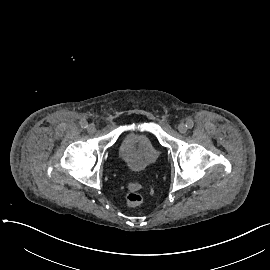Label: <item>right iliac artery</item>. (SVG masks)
<instances>
[{
  "instance_id": "1",
  "label": "right iliac artery",
  "mask_w": 270,
  "mask_h": 270,
  "mask_svg": "<svg viewBox=\"0 0 270 270\" xmlns=\"http://www.w3.org/2000/svg\"><path fill=\"white\" fill-rule=\"evenodd\" d=\"M80 125H81L82 128H87L88 123H87V121L82 120V121L80 122Z\"/></svg>"
}]
</instances>
